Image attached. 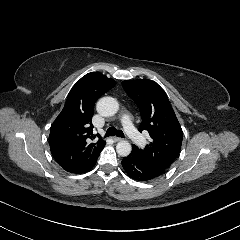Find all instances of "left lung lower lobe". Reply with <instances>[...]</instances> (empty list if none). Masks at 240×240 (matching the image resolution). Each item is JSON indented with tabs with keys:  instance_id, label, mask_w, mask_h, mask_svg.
I'll list each match as a JSON object with an SVG mask.
<instances>
[{
	"instance_id": "left-lung-lower-lobe-1",
	"label": "left lung lower lobe",
	"mask_w": 240,
	"mask_h": 240,
	"mask_svg": "<svg viewBox=\"0 0 240 240\" xmlns=\"http://www.w3.org/2000/svg\"><path fill=\"white\" fill-rule=\"evenodd\" d=\"M122 166L129 177L137 181L152 180L165 171V169L153 166L133 153L123 158Z\"/></svg>"
}]
</instances>
